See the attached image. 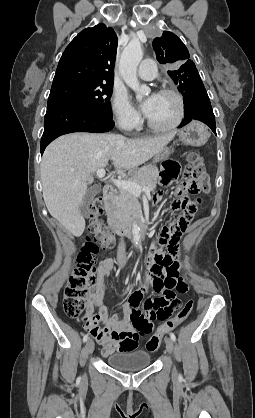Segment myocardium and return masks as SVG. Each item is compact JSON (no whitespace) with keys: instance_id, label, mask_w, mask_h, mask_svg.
<instances>
[{"instance_id":"obj_1","label":"myocardium","mask_w":255,"mask_h":418,"mask_svg":"<svg viewBox=\"0 0 255 418\" xmlns=\"http://www.w3.org/2000/svg\"><path fill=\"white\" fill-rule=\"evenodd\" d=\"M159 94L171 95L177 100L178 114H177L175 120L172 123H170L169 125H166V126L156 125L153 122H151L148 117H146V124H147L148 128H150L153 131L168 132V131H171V130L177 128L181 124V122L183 121L184 116H185V100H184V97L182 96V94L180 92H178L177 90L172 89V88H163L159 91Z\"/></svg>"}]
</instances>
